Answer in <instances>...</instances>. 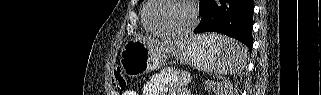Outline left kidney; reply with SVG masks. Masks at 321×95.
Returning <instances> with one entry per match:
<instances>
[{"label":"left kidney","instance_id":"obj_1","mask_svg":"<svg viewBox=\"0 0 321 95\" xmlns=\"http://www.w3.org/2000/svg\"><path fill=\"white\" fill-rule=\"evenodd\" d=\"M218 95H233V91L227 87H221L217 90Z\"/></svg>","mask_w":321,"mask_h":95}]
</instances>
